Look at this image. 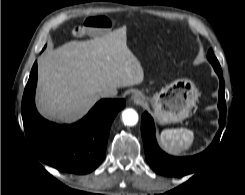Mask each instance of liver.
Listing matches in <instances>:
<instances>
[{"label":"liver","mask_w":245,"mask_h":195,"mask_svg":"<svg viewBox=\"0 0 245 195\" xmlns=\"http://www.w3.org/2000/svg\"><path fill=\"white\" fill-rule=\"evenodd\" d=\"M123 26L103 37L71 41L38 60L37 105L47 118L70 123L81 118L105 90L141 84L144 71L127 46Z\"/></svg>","instance_id":"1"}]
</instances>
